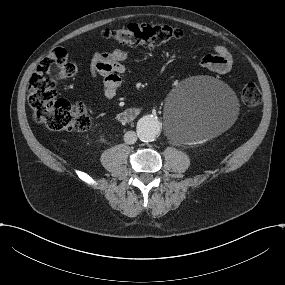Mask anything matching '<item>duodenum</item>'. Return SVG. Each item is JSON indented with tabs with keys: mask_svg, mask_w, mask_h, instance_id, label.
<instances>
[{
	"mask_svg": "<svg viewBox=\"0 0 285 285\" xmlns=\"http://www.w3.org/2000/svg\"><path fill=\"white\" fill-rule=\"evenodd\" d=\"M138 115H139V109L133 107L120 112L117 116V119L119 122L126 124L135 120L138 117Z\"/></svg>",
	"mask_w": 285,
	"mask_h": 285,
	"instance_id": "duodenum-1",
	"label": "duodenum"
}]
</instances>
